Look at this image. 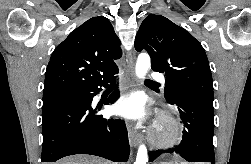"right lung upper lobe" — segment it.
Returning <instances> with one entry per match:
<instances>
[{
    "instance_id": "cb5924a9",
    "label": "right lung upper lobe",
    "mask_w": 251,
    "mask_h": 164,
    "mask_svg": "<svg viewBox=\"0 0 251 164\" xmlns=\"http://www.w3.org/2000/svg\"><path fill=\"white\" fill-rule=\"evenodd\" d=\"M122 56L120 40L104 16L87 20L60 43L48 63L44 92L92 86L110 80Z\"/></svg>"
}]
</instances>
